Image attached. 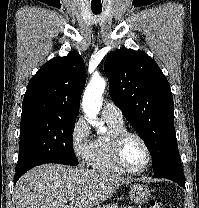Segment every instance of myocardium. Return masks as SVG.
Returning a JSON list of instances; mask_svg holds the SVG:
<instances>
[{
  "mask_svg": "<svg viewBox=\"0 0 199 208\" xmlns=\"http://www.w3.org/2000/svg\"><path fill=\"white\" fill-rule=\"evenodd\" d=\"M130 137L138 139L142 143V145L144 146L146 153H147V160H146L145 164L139 169L129 168L123 159V146H124V143L126 142V140ZM112 154H113V159H114L116 165L120 169H122L125 173H128V174H134V175L141 174V173L145 172L147 170V168L150 166V164L152 163V151L150 149L148 142L146 141V139L143 136H141L140 134L133 132V131L125 130V131L119 133L114 138L113 144H112Z\"/></svg>",
  "mask_w": 199,
  "mask_h": 208,
  "instance_id": "1",
  "label": "myocardium"
}]
</instances>
